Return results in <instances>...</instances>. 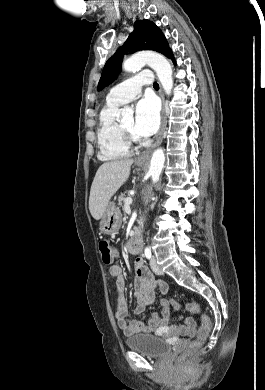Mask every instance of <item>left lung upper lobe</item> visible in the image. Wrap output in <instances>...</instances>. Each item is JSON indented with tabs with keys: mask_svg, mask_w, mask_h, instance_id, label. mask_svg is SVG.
I'll list each match as a JSON object with an SVG mask.
<instances>
[{
	"mask_svg": "<svg viewBox=\"0 0 265 390\" xmlns=\"http://www.w3.org/2000/svg\"><path fill=\"white\" fill-rule=\"evenodd\" d=\"M140 50H153L168 58H173L172 51L161 30L151 21L137 20L134 24V31L129 35L124 45L106 62L98 83V90H102L117 78L121 72L126 52L135 53Z\"/></svg>",
	"mask_w": 265,
	"mask_h": 390,
	"instance_id": "left-lung-upper-lobe-1",
	"label": "left lung upper lobe"
}]
</instances>
